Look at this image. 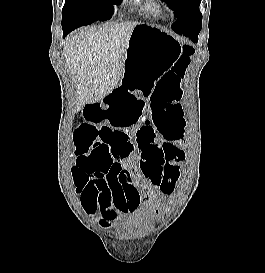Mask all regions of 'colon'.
<instances>
[{
  "mask_svg": "<svg viewBox=\"0 0 265 273\" xmlns=\"http://www.w3.org/2000/svg\"><path fill=\"white\" fill-rule=\"evenodd\" d=\"M192 54L193 49L184 46L172 66L159 78L151 94L150 127L160 133V139H164L160 157L166 159L162 169L152 174V184L164 194L173 191L180 178L181 162L184 159V152L179 147L183 145L181 140L185 133L184 113L180 105L181 80ZM115 135L111 129L75 130L76 163L72 167V174L78 191L91 195L97 193L98 180L91 179L90 176L107 170V166L110 165L107 148Z\"/></svg>",
  "mask_w": 265,
  "mask_h": 273,
  "instance_id": "5ec220e1",
  "label": "colon"
}]
</instances>
